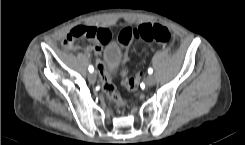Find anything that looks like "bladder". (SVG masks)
Returning a JSON list of instances; mask_svg holds the SVG:
<instances>
[{
  "label": "bladder",
  "instance_id": "31cf9c89",
  "mask_svg": "<svg viewBox=\"0 0 245 145\" xmlns=\"http://www.w3.org/2000/svg\"><path fill=\"white\" fill-rule=\"evenodd\" d=\"M122 57V48L120 44L109 43L106 45L102 58L104 66L110 76H115L119 72L120 61Z\"/></svg>",
  "mask_w": 245,
  "mask_h": 145
}]
</instances>
